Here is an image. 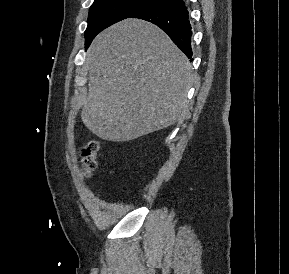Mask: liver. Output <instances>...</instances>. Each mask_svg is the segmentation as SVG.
<instances>
[{
    "label": "liver",
    "instance_id": "6515ba94",
    "mask_svg": "<svg viewBox=\"0 0 289 274\" xmlns=\"http://www.w3.org/2000/svg\"><path fill=\"white\" fill-rule=\"evenodd\" d=\"M88 96L81 118L99 138L134 140L183 120L191 64L157 26L125 19L87 51Z\"/></svg>",
    "mask_w": 289,
    "mask_h": 274
}]
</instances>
